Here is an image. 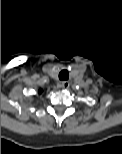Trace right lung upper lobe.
<instances>
[{
    "label": "right lung upper lobe",
    "mask_w": 122,
    "mask_h": 154,
    "mask_svg": "<svg viewBox=\"0 0 122 154\" xmlns=\"http://www.w3.org/2000/svg\"><path fill=\"white\" fill-rule=\"evenodd\" d=\"M41 93H42V89L39 90V94H41Z\"/></svg>",
    "instance_id": "cb5924a9"
}]
</instances>
